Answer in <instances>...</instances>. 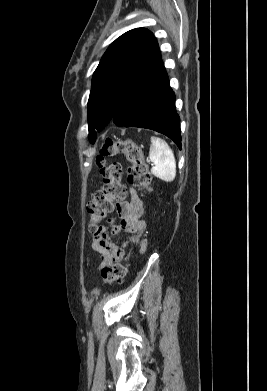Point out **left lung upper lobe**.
Returning <instances> with one entry per match:
<instances>
[{"label":"left lung upper lobe","mask_w":267,"mask_h":391,"mask_svg":"<svg viewBox=\"0 0 267 391\" xmlns=\"http://www.w3.org/2000/svg\"><path fill=\"white\" fill-rule=\"evenodd\" d=\"M160 59L156 38L144 28L124 33L109 46L92 78L88 101L91 143L113 119L131 89Z\"/></svg>","instance_id":"left-lung-upper-lobe-1"}]
</instances>
